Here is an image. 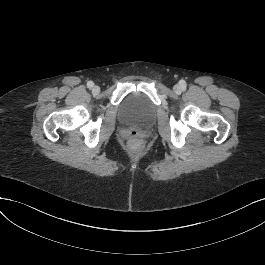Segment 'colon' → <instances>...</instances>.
I'll use <instances>...</instances> for the list:
<instances>
[{"label":"colon","mask_w":265,"mask_h":265,"mask_svg":"<svg viewBox=\"0 0 265 265\" xmlns=\"http://www.w3.org/2000/svg\"><path fill=\"white\" fill-rule=\"evenodd\" d=\"M125 137L130 141L133 147H137L141 140V134L136 130L126 132Z\"/></svg>","instance_id":"5ec220e1"}]
</instances>
